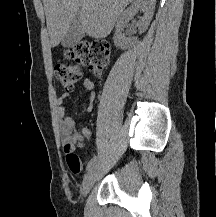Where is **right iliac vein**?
<instances>
[{"instance_id":"right-iliac-vein-1","label":"right iliac vein","mask_w":216,"mask_h":217,"mask_svg":"<svg viewBox=\"0 0 216 217\" xmlns=\"http://www.w3.org/2000/svg\"><path fill=\"white\" fill-rule=\"evenodd\" d=\"M96 173H97V167L94 166L89 170V172L84 177L82 187H81V194L83 196H86L91 190L95 181Z\"/></svg>"}]
</instances>
